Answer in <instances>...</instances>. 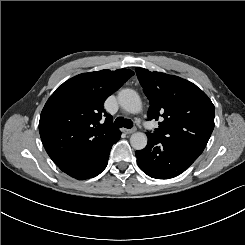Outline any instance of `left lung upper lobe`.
<instances>
[{
    "instance_id": "5c2ea615",
    "label": "left lung upper lobe",
    "mask_w": 245,
    "mask_h": 245,
    "mask_svg": "<svg viewBox=\"0 0 245 245\" xmlns=\"http://www.w3.org/2000/svg\"><path fill=\"white\" fill-rule=\"evenodd\" d=\"M137 77L150 101L148 118L159 128L147 135L179 145L199 156L214 128V105L193 83L177 76L136 68Z\"/></svg>"
}]
</instances>
